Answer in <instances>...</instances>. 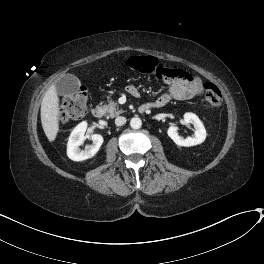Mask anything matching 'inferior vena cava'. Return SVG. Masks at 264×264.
Listing matches in <instances>:
<instances>
[{
  "instance_id": "inferior-vena-cava-1",
  "label": "inferior vena cava",
  "mask_w": 264,
  "mask_h": 264,
  "mask_svg": "<svg viewBox=\"0 0 264 264\" xmlns=\"http://www.w3.org/2000/svg\"><path fill=\"white\" fill-rule=\"evenodd\" d=\"M125 123H126V118L123 117V116H119V117H117V118L115 119V124H116L117 126H122V125H124Z\"/></svg>"
}]
</instances>
